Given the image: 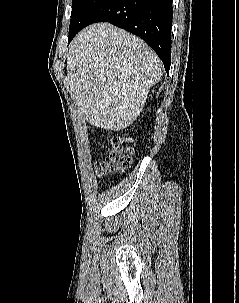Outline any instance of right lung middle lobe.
<instances>
[{
  "label": "right lung middle lobe",
  "instance_id": "obj_1",
  "mask_svg": "<svg viewBox=\"0 0 239 303\" xmlns=\"http://www.w3.org/2000/svg\"><path fill=\"white\" fill-rule=\"evenodd\" d=\"M104 1L105 0H72L68 40L85 27L91 14L103 4Z\"/></svg>",
  "mask_w": 239,
  "mask_h": 303
}]
</instances>
